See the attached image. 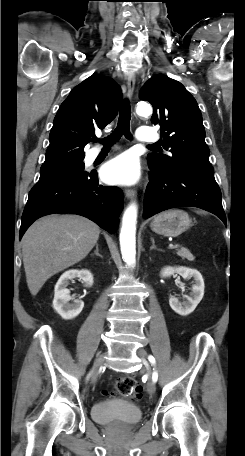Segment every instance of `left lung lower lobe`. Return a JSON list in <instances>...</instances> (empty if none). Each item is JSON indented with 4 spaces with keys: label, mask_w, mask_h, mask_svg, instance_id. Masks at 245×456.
<instances>
[{
    "label": "left lung lower lobe",
    "mask_w": 245,
    "mask_h": 456,
    "mask_svg": "<svg viewBox=\"0 0 245 456\" xmlns=\"http://www.w3.org/2000/svg\"><path fill=\"white\" fill-rule=\"evenodd\" d=\"M148 166L151 171L144 198L145 219L170 208L198 207L217 215L226 224L214 173L177 168L163 170L152 163Z\"/></svg>",
    "instance_id": "1"
}]
</instances>
